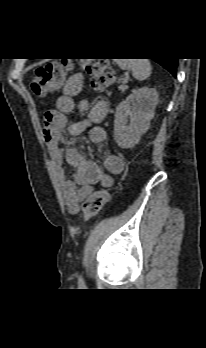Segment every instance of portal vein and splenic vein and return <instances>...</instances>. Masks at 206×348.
<instances>
[{
    "mask_svg": "<svg viewBox=\"0 0 206 348\" xmlns=\"http://www.w3.org/2000/svg\"><path fill=\"white\" fill-rule=\"evenodd\" d=\"M123 82L126 83V82H127V78H124V79H123Z\"/></svg>",
    "mask_w": 206,
    "mask_h": 348,
    "instance_id": "18ae733b",
    "label": "portal vein and splenic vein"
}]
</instances>
